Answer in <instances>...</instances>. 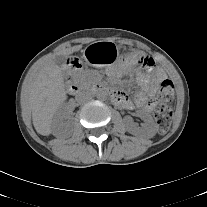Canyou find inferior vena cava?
<instances>
[{"label": "inferior vena cava", "mask_w": 207, "mask_h": 207, "mask_svg": "<svg viewBox=\"0 0 207 207\" xmlns=\"http://www.w3.org/2000/svg\"><path fill=\"white\" fill-rule=\"evenodd\" d=\"M91 98H92V94L88 91L79 92L75 97L78 103H85L89 101Z\"/></svg>", "instance_id": "1"}]
</instances>
